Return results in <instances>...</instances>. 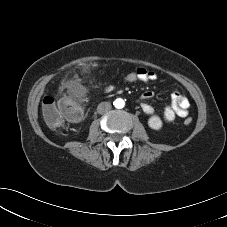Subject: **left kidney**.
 Listing matches in <instances>:
<instances>
[{
    "label": "left kidney",
    "mask_w": 227,
    "mask_h": 227,
    "mask_svg": "<svg viewBox=\"0 0 227 227\" xmlns=\"http://www.w3.org/2000/svg\"><path fill=\"white\" fill-rule=\"evenodd\" d=\"M148 125L154 130H159L161 129L163 123L159 116L153 115L148 119Z\"/></svg>",
    "instance_id": "1"
}]
</instances>
